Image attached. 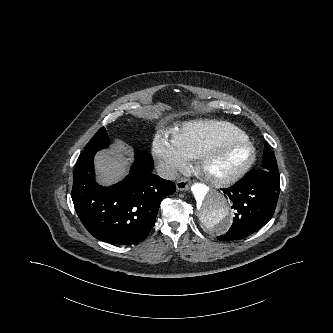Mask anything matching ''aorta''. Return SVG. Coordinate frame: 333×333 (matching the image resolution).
Returning <instances> with one entry per match:
<instances>
[{
	"mask_svg": "<svg viewBox=\"0 0 333 333\" xmlns=\"http://www.w3.org/2000/svg\"><path fill=\"white\" fill-rule=\"evenodd\" d=\"M193 210L199 222L219 232L229 221L230 206L227 198L218 190L194 185L192 190Z\"/></svg>",
	"mask_w": 333,
	"mask_h": 333,
	"instance_id": "obj_1",
	"label": "aorta"
}]
</instances>
